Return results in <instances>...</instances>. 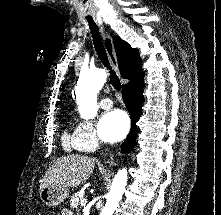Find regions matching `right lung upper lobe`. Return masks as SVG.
Masks as SVG:
<instances>
[{"mask_svg": "<svg viewBox=\"0 0 221 215\" xmlns=\"http://www.w3.org/2000/svg\"><path fill=\"white\" fill-rule=\"evenodd\" d=\"M114 47L121 76L130 80L129 83L123 85V88L143 78L144 72L141 68L142 61L138 50L132 48L118 36H114Z\"/></svg>", "mask_w": 221, "mask_h": 215, "instance_id": "right-lung-upper-lobe-1", "label": "right lung upper lobe"}]
</instances>
